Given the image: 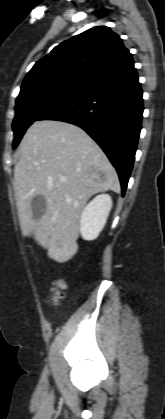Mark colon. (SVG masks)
<instances>
[{
  "label": "colon",
  "mask_w": 165,
  "mask_h": 419,
  "mask_svg": "<svg viewBox=\"0 0 165 419\" xmlns=\"http://www.w3.org/2000/svg\"><path fill=\"white\" fill-rule=\"evenodd\" d=\"M52 295H51V301L54 303L59 302L65 294L66 290V282L64 279H56L52 284Z\"/></svg>",
  "instance_id": "colon-1"
}]
</instances>
